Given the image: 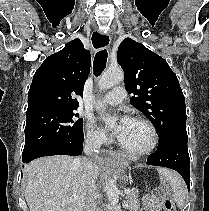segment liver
Wrapping results in <instances>:
<instances>
[{
	"mask_svg": "<svg viewBox=\"0 0 209 211\" xmlns=\"http://www.w3.org/2000/svg\"><path fill=\"white\" fill-rule=\"evenodd\" d=\"M96 179L103 164H95ZM25 198L29 211H86L90 183L72 156L38 158L24 170ZM76 196L69 202L71 198Z\"/></svg>",
	"mask_w": 209,
	"mask_h": 211,
	"instance_id": "liver-1",
	"label": "liver"
}]
</instances>
